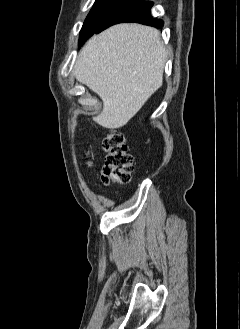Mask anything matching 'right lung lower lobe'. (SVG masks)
<instances>
[{
  "mask_svg": "<svg viewBox=\"0 0 240 329\" xmlns=\"http://www.w3.org/2000/svg\"><path fill=\"white\" fill-rule=\"evenodd\" d=\"M152 6L153 2L144 0H121L107 13L94 33H99L111 25L122 22H136L159 29L164 23L162 20L151 17L150 9Z\"/></svg>",
  "mask_w": 240,
  "mask_h": 329,
  "instance_id": "right-lung-lower-lobe-1",
  "label": "right lung lower lobe"
}]
</instances>
